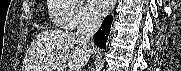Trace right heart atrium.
Instances as JSON below:
<instances>
[{
	"instance_id": "d8ad5b80",
	"label": "right heart atrium",
	"mask_w": 181,
	"mask_h": 71,
	"mask_svg": "<svg viewBox=\"0 0 181 71\" xmlns=\"http://www.w3.org/2000/svg\"><path fill=\"white\" fill-rule=\"evenodd\" d=\"M63 7L59 24L67 29L94 25L98 19L83 0H54Z\"/></svg>"
}]
</instances>
